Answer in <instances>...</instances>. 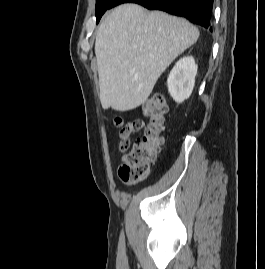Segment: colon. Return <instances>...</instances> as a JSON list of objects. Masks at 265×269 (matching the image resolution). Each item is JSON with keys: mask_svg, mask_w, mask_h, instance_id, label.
<instances>
[{"mask_svg": "<svg viewBox=\"0 0 265 269\" xmlns=\"http://www.w3.org/2000/svg\"><path fill=\"white\" fill-rule=\"evenodd\" d=\"M143 112L149 123L144 136L132 145L131 137L144 127L143 122L139 119L126 122L120 118L115 120L119 127V149L126 153L118 174L120 179L129 185L147 179L150 167L164 142L168 107L163 96L154 94L148 98L143 105Z\"/></svg>", "mask_w": 265, "mask_h": 269, "instance_id": "obj_1", "label": "colon"}]
</instances>
